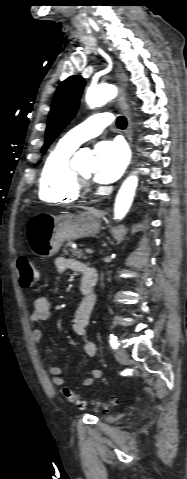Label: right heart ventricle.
Listing matches in <instances>:
<instances>
[{
	"label": "right heart ventricle",
	"mask_w": 187,
	"mask_h": 479,
	"mask_svg": "<svg viewBox=\"0 0 187 479\" xmlns=\"http://www.w3.org/2000/svg\"><path fill=\"white\" fill-rule=\"evenodd\" d=\"M75 148L61 141L48 154L39 178V197L47 203H72L80 196L70 158Z\"/></svg>",
	"instance_id": "1"
}]
</instances>
